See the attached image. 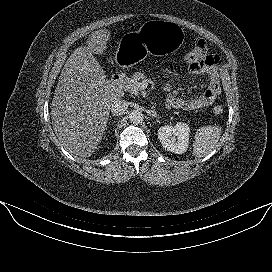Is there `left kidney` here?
I'll return each mask as SVG.
<instances>
[{"label":"left kidney","mask_w":272,"mask_h":272,"mask_svg":"<svg viewBox=\"0 0 272 272\" xmlns=\"http://www.w3.org/2000/svg\"><path fill=\"white\" fill-rule=\"evenodd\" d=\"M189 135L190 127L181 122L175 126H162L158 130V138L162 146L175 154H182L187 151Z\"/></svg>","instance_id":"5707ae66"}]
</instances>
